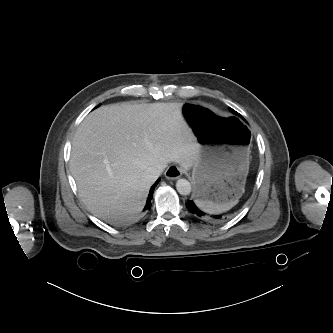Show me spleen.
<instances>
[{
  "instance_id": "spleen-1",
  "label": "spleen",
  "mask_w": 333,
  "mask_h": 333,
  "mask_svg": "<svg viewBox=\"0 0 333 333\" xmlns=\"http://www.w3.org/2000/svg\"><path fill=\"white\" fill-rule=\"evenodd\" d=\"M195 204L204 212L209 214H219L230 210L237 203L234 204H216L206 200L196 199Z\"/></svg>"
}]
</instances>
